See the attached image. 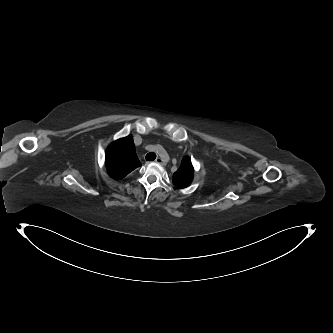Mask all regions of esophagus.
<instances>
[{
  "mask_svg": "<svg viewBox=\"0 0 333 333\" xmlns=\"http://www.w3.org/2000/svg\"><path fill=\"white\" fill-rule=\"evenodd\" d=\"M156 163L161 164V165H165L166 161L163 160L161 157H157L155 160Z\"/></svg>",
  "mask_w": 333,
  "mask_h": 333,
  "instance_id": "34e87169",
  "label": "esophagus"
}]
</instances>
